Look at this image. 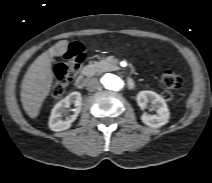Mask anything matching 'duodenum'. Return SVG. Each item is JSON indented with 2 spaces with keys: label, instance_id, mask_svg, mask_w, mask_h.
Returning <instances> with one entry per match:
<instances>
[{
  "label": "duodenum",
  "instance_id": "410a0bca",
  "mask_svg": "<svg viewBox=\"0 0 212 183\" xmlns=\"http://www.w3.org/2000/svg\"><path fill=\"white\" fill-rule=\"evenodd\" d=\"M90 77V72L89 71H85L83 72L75 81V86L78 88V89H82L85 87L88 79Z\"/></svg>",
  "mask_w": 212,
  "mask_h": 183
}]
</instances>
